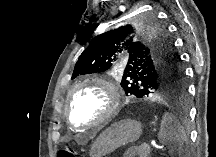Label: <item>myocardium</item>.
I'll return each mask as SVG.
<instances>
[{"instance_id":"1","label":"myocardium","mask_w":216,"mask_h":157,"mask_svg":"<svg viewBox=\"0 0 216 157\" xmlns=\"http://www.w3.org/2000/svg\"><path fill=\"white\" fill-rule=\"evenodd\" d=\"M86 86L98 87L102 91H104L108 97V104L106 109L102 112V114L94 121L87 124H78L72 118L70 112L71 103H72L74 92ZM121 104H122V92L112 81L100 77H90L77 82L68 91L67 101H66V113H67L68 121L71 126H73L76 129H87V128L95 127L97 125H101L109 121L118 112V110L121 107Z\"/></svg>"}]
</instances>
